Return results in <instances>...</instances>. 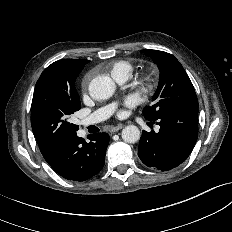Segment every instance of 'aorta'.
<instances>
[{
    "mask_svg": "<svg viewBox=\"0 0 232 232\" xmlns=\"http://www.w3.org/2000/svg\"><path fill=\"white\" fill-rule=\"evenodd\" d=\"M115 88L109 76H97L89 84V93L95 100H104L114 94ZM122 139L127 143H136L140 139V130L134 125H128L122 130Z\"/></svg>",
    "mask_w": 232,
    "mask_h": 232,
    "instance_id": "762f6f07",
    "label": "aorta"
}]
</instances>
